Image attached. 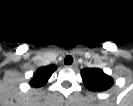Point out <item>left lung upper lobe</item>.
<instances>
[{"label":"left lung upper lobe","instance_id":"1","mask_svg":"<svg viewBox=\"0 0 133 106\" xmlns=\"http://www.w3.org/2000/svg\"><path fill=\"white\" fill-rule=\"evenodd\" d=\"M85 86L91 91H105L113 85V79L101 69L87 68L81 71Z\"/></svg>","mask_w":133,"mask_h":106}]
</instances>
